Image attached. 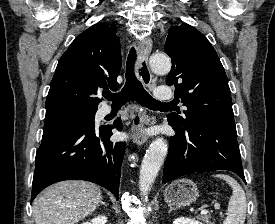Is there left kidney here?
Here are the masks:
<instances>
[{"mask_svg":"<svg viewBox=\"0 0 275 224\" xmlns=\"http://www.w3.org/2000/svg\"><path fill=\"white\" fill-rule=\"evenodd\" d=\"M173 224H203L202 222H199L195 219H189V218H178L173 221Z\"/></svg>","mask_w":275,"mask_h":224,"instance_id":"left-kidney-1","label":"left kidney"}]
</instances>
